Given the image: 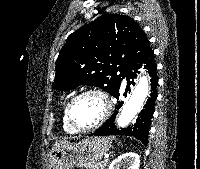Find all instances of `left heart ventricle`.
I'll use <instances>...</instances> for the list:
<instances>
[{
  "label": "left heart ventricle",
  "mask_w": 200,
  "mask_h": 169,
  "mask_svg": "<svg viewBox=\"0 0 200 169\" xmlns=\"http://www.w3.org/2000/svg\"><path fill=\"white\" fill-rule=\"evenodd\" d=\"M104 104L97 95H86L78 99L72 108L74 123L79 128L94 125L101 117Z\"/></svg>",
  "instance_id": "b2bd125f"
}]
</instances>
